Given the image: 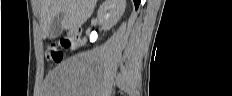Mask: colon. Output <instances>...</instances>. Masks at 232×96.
I'll return each instance as SVG.
<instances>
[{"label": "colon", "instance_id": "colon-1", "mask_svg": "<svg viewBox=\"0 0 232 96\" xmlns=\"http://www.w3.org/2000/svg\"><path fill=\"white\" fill-rule=\"evenodd\" d=\"M67 41L54 42L48 47V57L54 62H61L64 59V49L68 46Z\"/></svg>", "mask_w": 232, "mask_h": 96}]
</instances>
